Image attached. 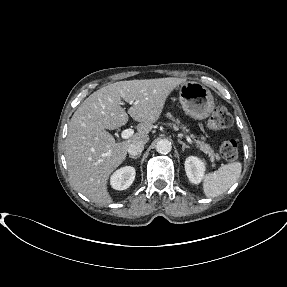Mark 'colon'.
<instances>
[{
  "label": "colon",
  "mask_w": 287,
  "mask_h": 287,
  "mask_svg": "<svg viewBox=\"0 0 287 287\" xmlns=\"http://www.w3.org/2000/svg\"><path fill=\"white\" fill-rule=\"evenodd\" d=\"M233 119L225 107H217L208 120V128L218 131L232 125ZM219 151L223 159L233 161L238 157V143L234 137L224 138L219 146Z\"/></svg>",
  "instance_id": "colon-1"
}]
</instances>
